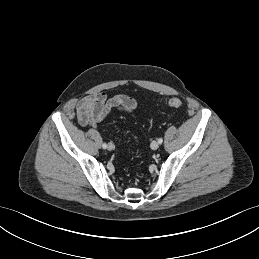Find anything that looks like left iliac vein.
Returning <instances> with one entry per match:
<instances>
[{
	"label": "left iliac vein",
	"mask_w": 259,
	"mask_h": 259,
	"mask_svg": "<svg viewBox=\"0 0 259 259\" xmlns=\"http://www.w3.org/2000/svg\"><path fill=\"white\" fill-rule=\"evenodd\" d=\"M150 147H151L152 150H157L158 147H159L158 141H153V142L151 143Z\"/></svg>",
	"instance_id": "obj_1"
}]
</instances>
